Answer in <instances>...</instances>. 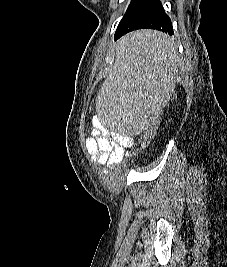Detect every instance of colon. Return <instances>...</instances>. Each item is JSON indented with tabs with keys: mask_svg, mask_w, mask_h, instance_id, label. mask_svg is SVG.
<instances>
[{
	"mask_svg": "<svg viewBox=\"0 0 227 267\" xmlns=\"http://www.w3.org/2000/svg\"><path fill=\"white\" fill-rule=\"evenodd\" d=\"M162 114L153 115L152 123L147 125V129L142 131L143 139H140V142H136L135 149L133 153H129V155L125 156V161H123V171H134V164H137L140 158V152H144L147 144H149V140L156 139V131H160L161 127L159 125L163 124Z\"/></svg>",
	"mask_w": 227,
	"mask_h": 267,
	"instance_id": "colon-1",
	"label": "colon"
}]
</instances>
